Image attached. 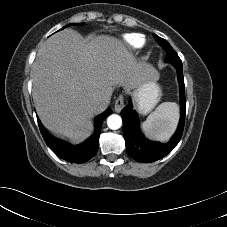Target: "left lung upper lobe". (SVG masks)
I'll use <instances>...</instances> for the list:
<instances>
[{
    "label": "left lung upper lobe",
    "instance_id": "obj_1",
    "mask_svg": "<svg viewBox=\"0 0 227 227\" xmlns=\"http://www.w3.org/2000/svg\"><path fill=\"white\" fill-rule=\"evenodd\" d=\"M153 35L156 41L163 47V49L167 53L166 62L173 64L176 68H182L181 59L179 58L175 50L171 47V45L165 39L157 36L156 34Z\"/></svg>",
    "mask_w": 227,
    "mask_h": 227
}]
</instances>
